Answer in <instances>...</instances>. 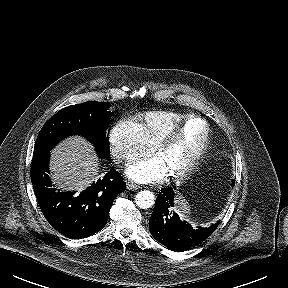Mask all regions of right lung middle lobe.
<instances>
[{
    "instance_id": "right-lung-middle-lobe-1",
    "label": "right lung middle lobe",
    "mask_w": 288,
    "mask_h": 288,
    "mask_svg": "<svg viewBox=\"0 0 288 288\" xmlns=\"http://www.w3.org/2000/svg\"><path fill=\"white\" fill-rule=\"evenodd\" d=\"M110 106L104 102H84L58 111L40 130L34 153L49 151L64 137L79 134L94 145L100 157H109L106 130L111 117Z\"/></svg>"
}]
</instances>
